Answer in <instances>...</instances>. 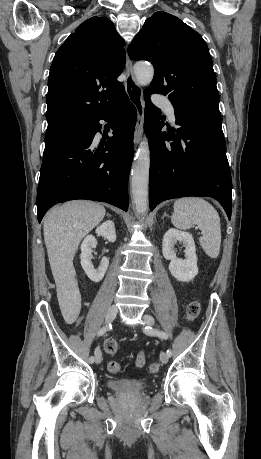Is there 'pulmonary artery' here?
Segmentation results:
<instances>
[{
  "instance_id": "pulmonary-artery-1",
  "label": "pulmonary artery",
  "mask_w": 261,
  "mask_h": 459,
  "mask_svg": "<svg viewBox=\"0 0 261 459\" xmlns=\"http://www.w3.org/2000/svg\"><path fill=\"white\" fill-rule=\"evenodd\" d=\"M156 103L161 106L171 122H175V111L169 100L165 98H156Z\"/></svg>"
}]
</instances>
